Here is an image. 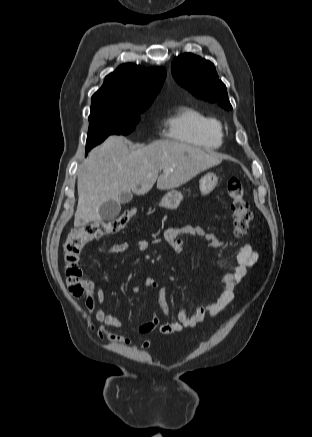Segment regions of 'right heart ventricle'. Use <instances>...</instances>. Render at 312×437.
<instances>
[{
    "mask_svg": "<svg viewBox=\"0 0 312 437\" xmlns=\"http://www.w3.org/2000/svg\"><path fill=\"white\" fill-rule=\"evenodd\" d=\"M164 126L170 138L186 144L216 148L223 141L220 121L192 107L178 108Z\"/></svg>",
    "mask_w": 312,
    "mask_h": 437,
    "instance_id": "obj_1",
    "label": "right heart ventricle"
}]
</instances>
